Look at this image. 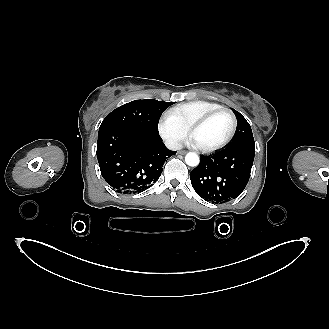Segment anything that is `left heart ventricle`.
<instances>
[{"mask_svg":"<svg viewBox=\"0 0 329 329\" xmlns=\"http://www.w3.org/2000/svg\"><path fill=\"white\" fill-rule=\"evenodd\" d=\"M230 129L231 118L226 113H220L197 128L191 137L197 146L209 147L223 141L229 134Z\"/></svg>","mask_w":329,"mask_h":329,"instance_id":"1","label":"left heart ventricle"}]
</instances>
